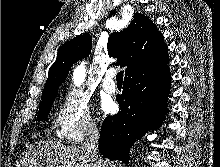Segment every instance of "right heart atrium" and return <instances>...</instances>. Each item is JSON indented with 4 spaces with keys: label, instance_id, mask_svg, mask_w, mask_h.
I'll return each instance as SVG.
<instances>
[{
    "label": "right heart atrium",
    "instance_id": "obj_1",
    "mask_svg": "<svg viewBox=\"0 0 220 167\" xmlns=\"http://www.w3.org/2000/svg\"><path fill=\"white\" fill-rule=\"evenodd\" d=\"M59 135L67 142L78 144L85 137L96 135L99 125L88 98L79 90L65 93L55 116Z\"/></svg>",
    "mask_w": 220,
    "mask_h": 167
}]
</instances>
